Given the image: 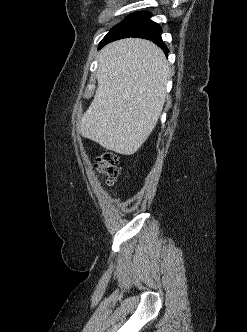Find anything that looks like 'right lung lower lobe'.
I'll list each match as a JSON object with an SVG mask.
<instances>
[{"label":"right lung lower lobe","instance_id":"1","mask_svg":"<svg viewBox=\"0 0 247 332\" xmlns=\"http://www.w3.org/2000/svg\"><path fill=\"white\" fill-rule=\"evenodd\" d=\"M150 16L148 12L136 13L129 16L110 30L100 42L99 48L118 39L138 37L152 40L167 54L168 49L161 40L162 29L157 23L150 20Z\"/></svg>","mask_w":247,"mask_h":332}]
</instances>
